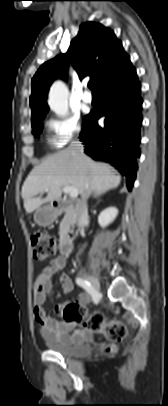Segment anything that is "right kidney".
I'll return each instance as SVG.
<instances>
[{
  "instance_id": "ca27d5eb",
  "label": "right kidney",
  "mask_w": 168,
  "mask_h": 406,
  "mask_svg": "<svg viewBox=\"0 0 168 406\" xmlns=\"http://www.w3.org/2000/svg\"><path fill=\"white\" fill-rule=\"evenodd\" d=\"M117 215H118L117 208L115 207L106 208L100 213L98 217V223L102 228H104L108 226L111 222H113Z\"/></svg>"
}]
</instances>
